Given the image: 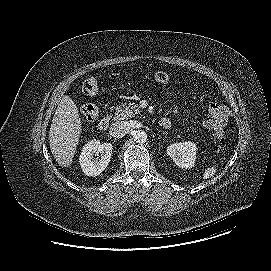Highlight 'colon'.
<instances>
[{
	"label": "colon",
	"instance_id": "colon-1",
	"mask_svg": "<svg viewBox=\"0 0 271 271\" xmlns=\"http://www.w3.org/2000/svg\"><path fill=\"white\" fill-rule=\"evenodd\" d=\"M111 77H116V74H111ZM153 79L160 84H168L170 82L169 74L162 71L156 72L153 76ZM98 90L99 83L95 77L91 76L84 80L82 84V91L85 94L94 95L98 92ZM100 111V104L97 101L88 102L81 107L82 115L88 122H94L98 118ZM215 135L216 137H221L222 132L216 131Z\"/></svg>",
	"mask_w": 271,
	"mask_h": 271
}]
</instances>
